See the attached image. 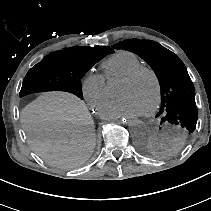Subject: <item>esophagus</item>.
I'll use <instances>...</instances> for the list:
<instances>
[{
  "label": "esophagus",
  "mask_w": 211,
  "mask_h": 211,
  "mask_svg": "<svg viewBox=\"0 0 211 211\" xmlns=\"http://www.w3.org/2000/svg\"><path fill=\"white\" fill-rule=\"evenodd\" d=\"M118 122H119L120 124H122V125H125V124L127 123V120H126L125 118H123V117H120V118L118 119Z\"/></svg>",
  "instance_id": "34e87169"
}]
</instances>
